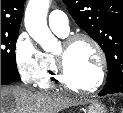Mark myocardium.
Instances as JSON below:
<instances>
[{
	"label": "myocardium",
	"instance_id": "f54148a6",
	"mask_svg": "<svg viewBox=\"0 0 123 113\" xmlns=\"http://www.w3.org/2000/svg\"><path fill=\"white\" fill-rule=\"evenodd\" d=\"M78 41H86L90 43L92 47L95 49L99 59L98 77L95 80V82L89 87H82L72 82L71 79L69 78L65 65L64 54ZM61 47H62V52L55 53L54 55V62L57 71V76L60 82L64 86L72 90H75L79 93H93L97 91L100 88V86L103 84L107 73V57L100 43L91 35L85 33H77L65 37L62 41Z\"/></svg>",
	"mask_w": 123,
	"mask_h": 113
}]
</instances>
